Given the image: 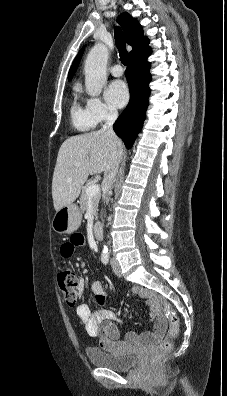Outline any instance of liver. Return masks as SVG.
Wrapping results in <instances>:
<instances>
[{"label":"liver","instance_id":"liver-1","mask_svg":"<svg viewBox=\"0 0 227 396\" xmlns=\"http://www.w3.org/2000/svg\"><path fill=\"white\" fill-rule=\"evenodd\" d=\"M113 150L122 155L121 140H113L101 131L72 136L62 143L52 180V198L56 211L78 198L89 175L106 170Z\"/></svg>","mask_w":227,"mask_h":396}]
</instances>
